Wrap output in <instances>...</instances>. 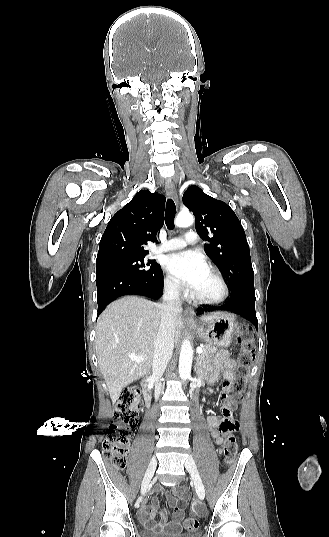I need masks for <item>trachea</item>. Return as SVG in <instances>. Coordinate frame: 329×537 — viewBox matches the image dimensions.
Instances as JSON below:
<instances>
[{"instance_id": "3493384b", "label": "trachea", "mask_w": 329, "mask_h": 537, "mask_svg": "<svg viewBox=\"0 0 329 537\" xmlns=\"http://www.w3.org/2000/svg\"><path fill=\"white\" fill-rule=\"evenodd\" d=\"M175 214V203L172 199H168L166 203L165 224L169 230L173 228Z\"/></svg>"}]
</instances>
